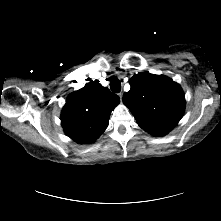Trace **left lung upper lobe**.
<instances>
[{"label": "left lung upper lobe", "instance_id": "1", "mask_svg": "<svg viewBox=\"0 0 221 221\" xmlns=\"http://www.w3.org/2000/svg\"><path fill=\"white\" fill-rule=\"evenodd\" d=\"M130 86V91L123 95V102L142 129L162 136L177 125L185 108L179 84L163 75L138 73L130 79Z\"/></svg>", "mask_w": 221, "mask_h": 221}]
</instances>
